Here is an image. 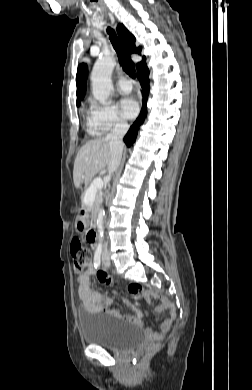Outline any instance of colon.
I'll list each match as a JSON object with an SVG mask.
<instances>
[{
  "label": "colon",
  "mask_w": 252,
  "mask_h": 390,
  "mask_svg": "<svg viewBox=\"0 0 252 390\" xmlns=\"http://www.w3.org/2000/svg\"><path fill=\"white\" fill-rule=\"evenodd\" d=\"M91 236V231H88L87 241L89 243H91ZM70 251L75 272L82 273L90 267L92 258L91 250L87 245L83 243L80 238L74 237L72 239L70 244ZM128 291L130 294L134 295L141 292L142 287L138 284L132 283L129 285ZM156 348L157 345L148 346L143 353V357H146L151 354Z\"/></svg>",
  "instance_id": "5ec220e1"
}]
</instances>
